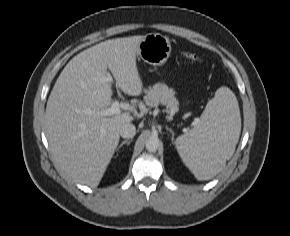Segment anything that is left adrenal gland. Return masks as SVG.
<instances>
[{"label": "left adrenal gland", "mask_w": 290, "mask_h": 236, "mask_svg": "<svg viewBox=\"0 0 290 236\" xmlns=\"http://www.w3.org/2000/svg\"><path fill=\"white\" fill-rule=\"evenodd\" d=\"M166 129L172 134L171 140L173 142L174 141V132H173V130L171 128L167 127V126H166Z\"/></svg>", "instance_id": "left-adrenal-gland-1"}]
</instances>
